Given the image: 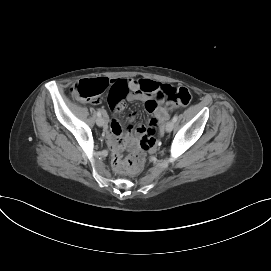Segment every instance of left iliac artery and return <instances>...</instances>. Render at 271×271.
<instances>
[{
	"label": "left iliac artery",
	"instance_id": "44dca946",
	"mask_svg": "<svg viewBox=\"0 0 271 271\" xmlns=\"http://www.w3.org/2000/svg\"><path fill=\"white\" fill-rule=\"evenodd\" d=\"M178 120V115H174V117L172 118L173 122H176Z\"/></svg>",
	"mask_w": 271,
	"mask_h": 271
}]
</instances>
